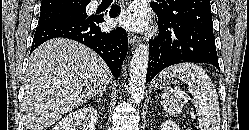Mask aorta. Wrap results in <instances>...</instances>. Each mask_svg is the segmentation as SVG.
<instances>
[{
	"label": "aorta",
	"instance_id": "obj_1",
	"mask_svg": "<svg viewBox=\"0 0 249 130\" xmlns=\"http://www.w3.org/2000/svg\"><path fill=\"white\" fill-rule=\"evenodd\" d=\"M149 49L139 44L133 53L129 66V90L132 102L139 105L144 98Z\"/></svg>",
	"mask_w": 249,
	"mask_h": 130
}]
</instances>
